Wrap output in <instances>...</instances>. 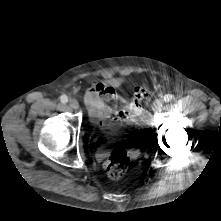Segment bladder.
<instances>
[{
    "mask_svg": "<svg viewBox=\"0 0 221 221\" xmlns=\"http://www.w3.org/2000/svg\"><path fill=\"white\" fill-rule=\"evenodd\" d=\"M118 127H115V126H109V129H110V134H119V131L117 130Z\"/></svg>",
    "mask_w": 221,
    "mask_h": 221,
    "instance_id": "obj_1",
    "label": "bladder"
}]
</instances>
